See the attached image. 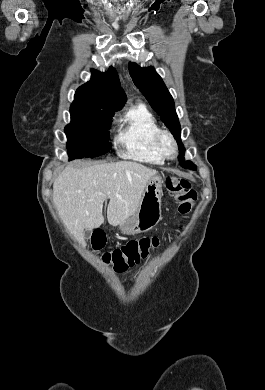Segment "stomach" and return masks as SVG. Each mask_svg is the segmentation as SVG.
<instances>
[{
	"instance_id": "0dacf381",
	"label": "stomach",
	"mask_w": 265,
	"mask_h": 390,
	"mask_svg": "<svg viewBox=\"0 0 265 390\" xmlns=\"http://www.w3.org/2000/svg\"><path fill=\"white\" fill-rule=\"evenodd\" d=\"M163 180L152 177L143 192L137 211L119 225L123 234L134 235L146 232L161 220V198Z\"/></svg>"
}]
</instances>
